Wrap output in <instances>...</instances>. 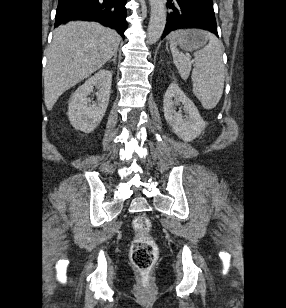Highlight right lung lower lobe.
Returning a JSON list of instances; mask_svg holds the SVG:
<instances>
[{
	"instance_id": "obj_1",
	"label": "right lung lower lobe",
	"mask_w": 286,
	"mask_h": 308,
	"mask_svg": "<svg viewBox=\"0 0 286 308\" xmlns=\"http://www.w3.org/2000/svg\"><path fill=\"white\" fill-rule=\"evenodd\" d=\"M127 0H59L55 26L71 20L96 21L116 29L124 38Z\"/></svg>"
}]
</instances>
